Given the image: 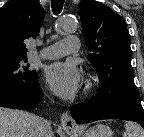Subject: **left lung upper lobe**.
Returning <instances> with one entry per match:
<instances>
[{
	"mask_svg": "<svg viewBox=\"0 0 144 137\" xmlns=\"http://www.w3.org/2000/svg\"><path fill=\"white\" fill-rule=\"evenodd\" d=\"M78 13L88 49L92 52L89 59L100 80L97 94L110 99L138 92L130 66L131 40L123 18L93 0H82Z\"/></svg>",
	"mask_w": 144,
	"mask_h": 137,
	"instance_id": "1",
	"label": "left lung upper lobe"
}]
</instances>
